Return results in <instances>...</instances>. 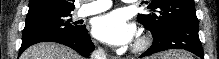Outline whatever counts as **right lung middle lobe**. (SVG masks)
I'll return each mask as SVG.
<instances>
[{"label": "right lung middle lobe", "mask_w": 219, "mask_h": 59, "mask_svg": "<svg viewBox=\"0 0 219 59\" xmlns=\"http://www.w3.org/2000/svg\"><path fill=\"white\" fill-rule=\"evenodd\" d=\"M84 29L72 21L71 12L37 10L27 14L22 41L50 33L80 34Z\"/></svg>", "instance_id": "obj_1"}]
</instances>
